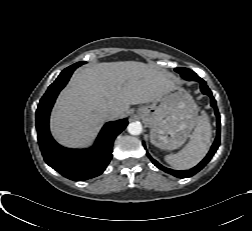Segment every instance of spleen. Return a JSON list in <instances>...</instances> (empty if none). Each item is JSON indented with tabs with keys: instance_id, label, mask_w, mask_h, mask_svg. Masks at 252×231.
Wrapping results in <instances>:
<instances>
[{
	"instance_id": "spleen-1",
	"label": "spleen",
	"mask_w": 252,
	"mask_h": 231,
	"mask_svg": "<svg viewBox=\"0 0 252 231\" xmlns=\"http://www.w3.org/2000/svg\"><path fill=\"white\" fill-rule=\"evenodd\" d=\"M190 137V141L180 152L165 156V161L174 169H190L207 154L211 142V125L206 114L197 117L196 127Z\"/></svg>"
}]
</instances>
